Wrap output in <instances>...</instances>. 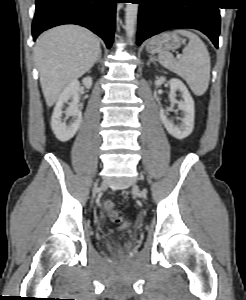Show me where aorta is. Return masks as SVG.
Returning a JSON list of instances; mask_svg holds the SVG:
<instances>
[{
	"mask_svg": "<svg viewBox=\"0 0 246 300\" xmlns=\"http://www.w3.org/2000/svg\"><path fill=\"white\" fill-rule=\"evenodd\" d=\"M138 4L126 3L125 8V31L129 40L134 37L137 20Z\"/></svg>",
	"mask_w": 246,
	"mask_h": 300,
	"instance_id": "762f6f07",
	"label": "aorta"
}]
</instances>
